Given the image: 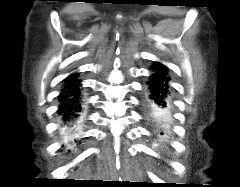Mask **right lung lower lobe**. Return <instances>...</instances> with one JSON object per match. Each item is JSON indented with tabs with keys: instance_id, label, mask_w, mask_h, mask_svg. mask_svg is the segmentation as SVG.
I'll return each mask as SVG.
<instances>
[{
	"instance_id": "1",
	"label": "right lung lower lobe",
	"mask_w": 240,
	"mask_h": 187,
	"mask_svg": "<svg viewBox=\"0 0 240 187\" xmlns=\"http://www.w3.org/2000/svg\"><path fill=\"white\" fill-rule=\"evenodd\" d=\"M80 82L77 74H71L65 79V84L59 95L58 114L63 117L65 128H76L81 123L82 102L79 90Z\"/></svg>"
}]
</instances>
